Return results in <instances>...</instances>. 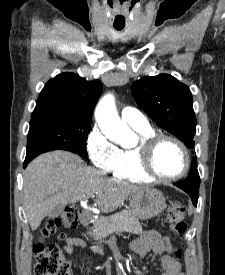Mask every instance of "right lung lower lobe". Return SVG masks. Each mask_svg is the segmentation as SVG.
I'll return each mask as SVG.
<instances>
[{"mask_svg":"<svg viewBox=\"0 0 225 275\" xmlns=\"http://www.w3.org/2000/svg\"><path fill=\"white\" fill-rule=\"evenodd\" d=\"M31 161V159L26 158L24 162V168L27 166V164Z\"/></svg>","mask_w":225,"mask_h":275,"instance_id":"right-lung-lower-lobe-1","label":"right lung lower lobe"}]
</instances>
